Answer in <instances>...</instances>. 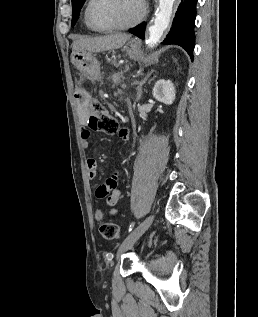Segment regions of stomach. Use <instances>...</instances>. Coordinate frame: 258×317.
Here are the masks:
<instances>
[{
  "label": "stomach",
  "mask_w": 258,
  "mask_h": 317,
  "mask_svg": "<svg viewBox=\"0 0 258 317\" xmlns=\"http://www.w3.org/2000/svg\"><path fill=\"white\" fill-rule=\"evenodd\" d=\"M124 50H126L130 58H135V60H140L142 56V48L138 40H129L125 44ZM152 58L157 60L155 54H153ZM71 60L85 76H93V74H99L100 72L99 60H97L96 56L90 50H75L71 56Z\"/></svg>",
  "instance_id": "0dacf381"
}]
</instances>
